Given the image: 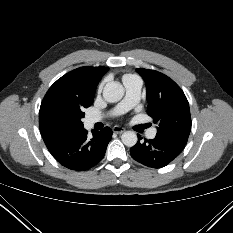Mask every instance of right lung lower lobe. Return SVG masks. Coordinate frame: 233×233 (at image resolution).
<instances>
[{
  "instance_id": "obj_1",
  "label": "right lung lower lobe",
  "mask_w": 233,
  "mask_h": 233,
  "mask_svg": "<svg viewBox=\"0 0 233 233\" xmlns=\"http://www.w3.org/2000/svg\"><path fill=\"white\" fill-rule=\"evenodd\" d=\"M111 138L112 130L109 127L101 131H93L91 139L82 127L47 148L64 167L82 171L90 169L103 159Z\"/></svg>"
}]
</instances>
